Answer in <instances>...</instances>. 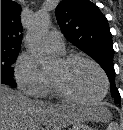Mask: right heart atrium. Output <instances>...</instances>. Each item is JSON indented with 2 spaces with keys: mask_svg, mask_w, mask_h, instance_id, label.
Wrapping results in <instances>:
<instances>
[{
  "mask_svg": "<svg viewBox=\"0 0 123 130\" xmlns=\"http://www.w3.org/2000/svg\"><path fill=\"white\" fill-rule=\"evenodd\" d=\"M15 79L19 88L30 96L41 97L48 91V75L34 56L24 51L15 64Z\"/></svg>",
  "mask_w": 123,
  "mask_h": 130,
  "instance_id": "d8ad5b80",
  "label": "right heart atrium"
}]
</instances>
